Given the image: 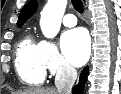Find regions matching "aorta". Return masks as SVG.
<instances>
[{
	"instance_id": "1",
	"label": "aorta",
	"mask_w": 121,
	"mask_h": 94,
	"mask_svg": "<svg viewBox=\"0 0 121 94\" xmlns=\"http://www.w3.org/2000/svg\"><path fill=\"white\" fill-rule=\"evenodd\" d=\"M67 0H48L41 12L40 27L46 38H54L61 27Z\"/></svg>"
}]
</instances>
